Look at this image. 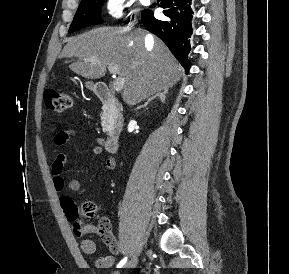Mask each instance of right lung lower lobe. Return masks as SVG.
Segmentation results:
<instances>
[{"label": "right lung lower lobe", "instance_id": "obj_1", "mask_svg": "<svg viewBox=\"0 0 289 274\" xmlns=\"http://www.w3.org/2000/svg\"><path fill=\"white\" fill-rule=\"evenodd\" d=\"M191 4L192 0H158V6L164 8L163 13L166 18L156 19L149 9L144 10L141 15L145 28L168 46L187 72L191 66L190 61L187 60L191 50L193 18Z\"/></svg>", "mask_w": 289, "mask_h": 274}]
</instances>
